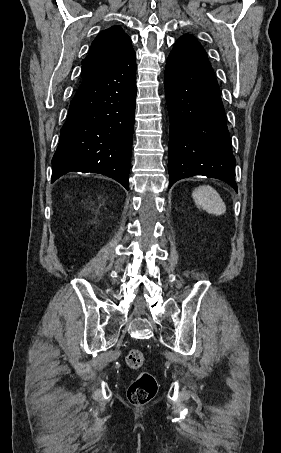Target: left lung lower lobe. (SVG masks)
Here are the masks:
<instances>
[{
	"label": "left lung lower lobe",
	"mask_w": 281,
	"mask_h": 453,
	"mask_svg": "<svg viewBox=\"0 0 281 453\" xmlns=\"http://www.w3.org/2000/svg\"><path fill=\"white\" fill-rule=\"evenodd\" d=\"M165 96L170 118L169 188L203 175L225 181L237 191L220 89L200 43L191 35L178 39L167 58Z\"/></svg>",
	"instance_id": "left-lung-lower-lobe-1"
}]
</instances>
